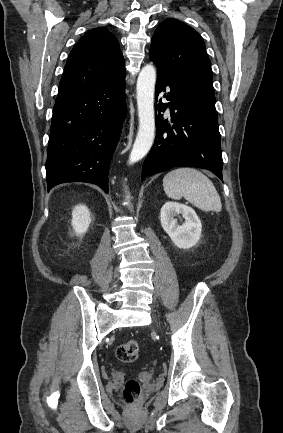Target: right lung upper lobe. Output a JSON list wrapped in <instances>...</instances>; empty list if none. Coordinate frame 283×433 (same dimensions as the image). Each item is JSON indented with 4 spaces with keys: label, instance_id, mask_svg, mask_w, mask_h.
<instances>
[{
    "label": "right lung upper lobe",
    "instance_id": "obj_1",
    "mask_svg": "<svg viewBox=\"0 0 283 433\" xmlns=\"http://www.w3.org/2000/svg\"><path fill=\"white\" fill-rule=\"evenodd\" d=\"M118 40L105 28L85 34L72 49L59 84L58 96L110 85L125 77Z\"/></svg>",
    "mask_w": 283,
    "mask_h": 433
}]
</instances>
